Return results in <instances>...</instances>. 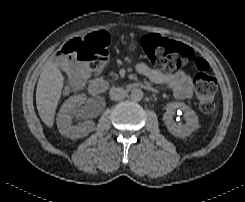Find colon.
Segmentation results:
<instances>
[{
  "label": "colon",
  "mask_w": 245,
  "mask_h": 202,
  "mask_svg": "<svg viewBox=\"0 0 245 202\" xmlns=\"http://www.w3.org/2000/svg\"><path fill=\"white\" fill-rule=\"evenodd\" d=\"M110 38L99 32L89 38H76L61 46L57 56L64 61V77L71 84L81 82L80 65L86 63L97 70L104 66L109 59ZM139 45L147 60L157 69L164 72L180 68H191L195 72V98L198 107L204 114L214 111L217 84L209 74L204 61L195 59L194 50L182 42L163 40L153 34L142 35Z\"/></svg>",
  "instance_id": "colon-1"
}]
</instances>
